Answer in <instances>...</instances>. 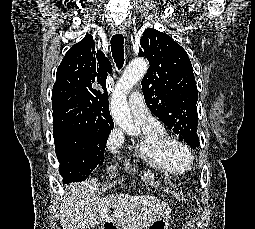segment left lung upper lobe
<instances>
[{
  "instance_id": "5c2ea615",
  "label": "left lung upper lobe",
  "mask_w": 255,
  "mask_h": 229,
  "mask_svg": "<svg viewBox=\"0 0 255 229\" xmlns=\"http://www.w3.org/2000/svg\"><path fill=\"white\" fill-rule=\"evenodd\" d=\"M138 55L150 64L141 82L146 105L181 139L198 147V92L186 51L169 35L147 28Z\"/></svg>"
}]
</instances>
